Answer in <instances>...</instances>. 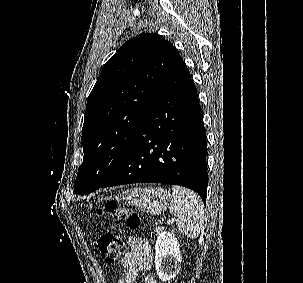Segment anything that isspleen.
Masks as SVG:
<instances>
[{"label":"spleen","mask_w":303,"mask_h":283,"mask_svg":"<svg viewBox=\"0 0 303 283\" xmlns=\"http://www.w3.org/2000/svg\"><path fill=\"white\" fill-rule=\"evenodd\" d=\"M172 191L169 210L178 218L179 231L189 238L198 237L204 221L202 200L195 192L180 186H172Z\"/></svg>","instance_id":"3e777b00"}]
</instances>
